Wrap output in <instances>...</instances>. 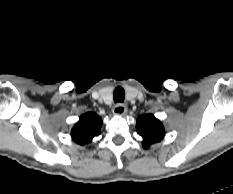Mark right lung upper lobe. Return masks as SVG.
<instances>
[{"label": "right lung upper lobe", "instance_id": "right-lung-upper-lobe-1", "mask_svg": "<svg viewBox=\"0 0 233 194\" xmlns=\"http://www.w3.org/2000/svg\"><path fill=\"white\" fill-rule=\"evenodd\" d=\"M101 124L102 120L97 114L93 112L83 114L72 130L73 140L80 145L90 143L100 134Z\"/></svg>", "mask_w": 233, "mask_h": 194}]
</instances>
